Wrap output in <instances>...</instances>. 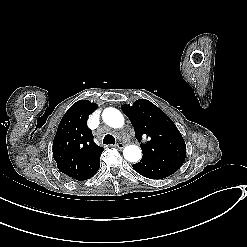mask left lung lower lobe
<instances>
[{"mask_svg":"<svg viewBox=\"0 0 247 247\" xmlns=\"http://www.w3.org/2000/svg\"><path fill=\"white\" fill-rule=\"evenodd\" d=\"M132 167L142 176L150 179H162L170 176L178 169L162 163L159 160L142 157L140 162L133 164Z\"/></svg>","mask_w":247,"mask_h":247,"instance_id":"left-lung-lower-lobe-1","label":"left lung lower lobe"}]
</instances>
